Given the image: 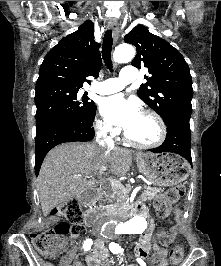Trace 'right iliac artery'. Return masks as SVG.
<instances>
[{"label":"right iliac artery","mask_w":221,"mask_h":266,"mask_svg":"<svg viewBox=\"0 0 221 266\" xmlns=\"http://www.w3.org/2000/svg\"><path fill=\"white\" fill-rule=\"evenodd\" d=\"M92 244H93L92 239L85 240L84 243H83V249H84V251L90 250Z\"/></svg>","instance_id":"right-iliac-artery-1"}]
</instances>
